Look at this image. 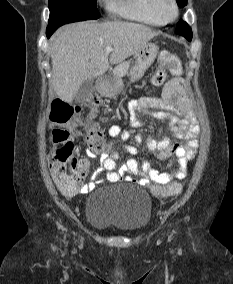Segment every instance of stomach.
Returning <instances> with one entry per match:
<instances>
[{"instance_id":"0dacf381","label":"stomach","mask_w":233,"mask_h":284,"mask_svg":"<svg viewBox=\"0 0 233 284\" xmlns=\"http://www.w3.org/2000/svg\"><path fill=\"white\" fill-rule=\"evenodd\" d=\"M159 51V47L154 43H147L134 58L135 63L130 68L128 76L131 81H137L144 76L146 70L154 62ZM124 84L120 76L115 72L112 76L106 78L98 85V90L102 95L114 96L123 90Z\"/></svg>"}]
</instances>
